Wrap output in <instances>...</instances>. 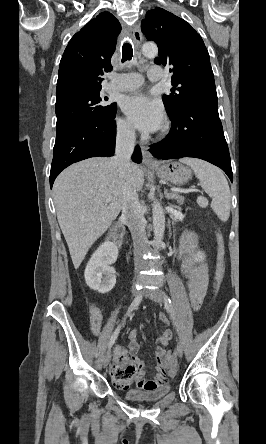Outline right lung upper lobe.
<instances>
[{
    "label": "right lung upper lobe",
    "mask_w": 266,
    "mask_h": 444,
    "mask_svg": "<svg viewBox=\"0 0 266 444\" xmlns=\"http://www.w3.org/2000/svg\"><path fill=\"white\" fill-rule=\"evenodd\" d=\"M120 31L119 21L102 12L71 38L60 61L56 98L101 89L102 75L112 69L111 57Z\"/></svg>",
    "instance_id": "right-lung-upper-lobe-1"
}]
</instances>
